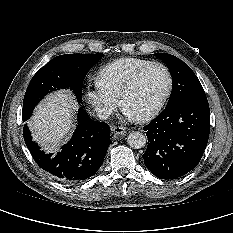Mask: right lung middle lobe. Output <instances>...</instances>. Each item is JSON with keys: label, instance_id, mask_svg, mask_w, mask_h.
Segmentation results:
<instances>
[{"label": "right lung middle lobe", "instance_id": "right-lung-middle-lobe-1", "mask_svg": "<svg viewBox=\"0 0 233 233\" xmlns=\"http://www.w3.org/2000/svg\"><path fill=\"white\" fill-rule=\"evenodd\" d=\"M98 54H65L50 60L32 78L23 101V120H27L38 102L60 88L73 90L81 101L82 85L89 69L101 57Z\"/></svg>", "mask_w": 233, "mask_h": 233}]
</instances>
